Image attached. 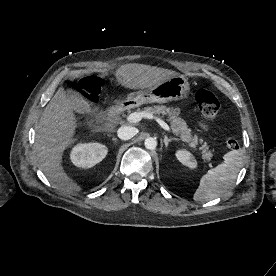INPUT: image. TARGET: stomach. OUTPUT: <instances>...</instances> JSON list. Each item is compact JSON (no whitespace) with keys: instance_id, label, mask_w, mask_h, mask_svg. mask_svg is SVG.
<instances>
[{"instance_id":"stomach-1","label":"stomach","mask_w":276,"mask_h":276,"mask_svg":"<svg viewBox=\"0 0 276 276\" xmlns=\"http://www.w3.org/2000/svg\"><path fill=\"white\" fill-rule=\"evenodd\" d=\"M189 92L188 79L183 75H176L146 90L128 94L124 102L132 106H140L145 103H166L186 99Z\"/></svg>"}]
</instances>
